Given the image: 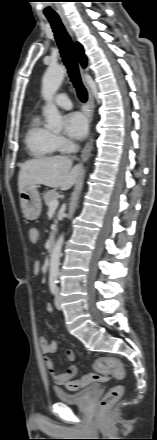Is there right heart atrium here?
<instances>
[{
  "label": "right heart atrium",
  "instance_id": "d8ad5b80",
  "mask_svg": "<svg viewBox=\"0 0 157 440\" xmlns=\"http://www.w3.org/2000/svg\"><path fill=\"white\" fill-rule=\"evenodd\" d=\"M54 143L58 149H67L70 143L60 135H53Z\"/></svg>",
  "mask_w": 157,
  "mask_h": 440
}]
</instances>
